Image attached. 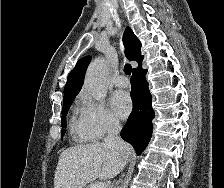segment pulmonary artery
Returning <instances> with one entry per match:
<instances>
[{
	"label": "pulmonary artery",
	"mask_w": 224,
	"mask_h": 188,
	"mask_svg": "<svg viewBox=\"0 0 224 188\" xmlns=\"http://www.w3.org/2000/svg\"><path fill=\"white\" fill-rule=\"evenodd\" d=\"M114 84L117 87L124 88V87H127L129 85V81H128L126 76L120 75V76L115 78Z\"/></svg>",
	"instance_id": "e3ab8cb5"
}]
</instances>
